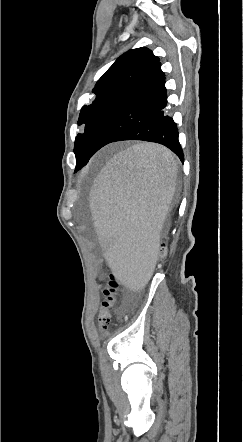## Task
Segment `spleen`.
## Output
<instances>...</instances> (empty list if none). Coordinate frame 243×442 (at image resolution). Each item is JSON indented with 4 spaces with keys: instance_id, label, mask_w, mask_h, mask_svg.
Returning a JSON list of instances; mask_svg holds the SVG:
<instances>
[{
    "instance_id": "3e777b00",
    "label": "spleen",
    "mask_w": 243,
    "mask_h": 442,
    "mask_svg": "<svg viewBox=\"0 0 243 442\" xmlns=\"http://www.w3.org/2000/svg\"><path fill=\"white\" fill-rule=\"evenodd\" d=\"M176 161L164 147L142 143L118 153L95 179L89 226H97L102 258L116 268L126 291L146 285L160 251L161 219L170 214Z\"/></svg>"
}]
</instances>
